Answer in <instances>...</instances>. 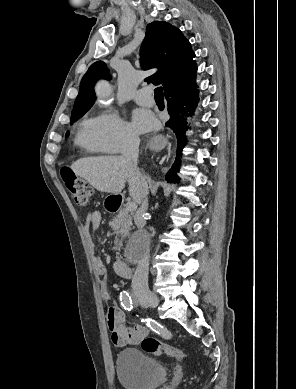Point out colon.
Segmentation results:
<instances>
[{"instance_id":"colon-1","label":"colon","mask_w":296,"mask_h":389,"mask_svg":"<svg viewBox=\"0 0 296 389\" xmlns=\"http://www.w3.org/2000/svg\"><path fill=\"white\" fill-rule=\"evenodd\" d=\"M61 177L75 203L79 206H87L91 196L87 183L77 177L69 167H63L61 169ZM141 347L145 352L154 355H166L177 359H183L185 357V353L182 350L167 345L153 337L143 338Z\"/></svg>"}]
</instances>
